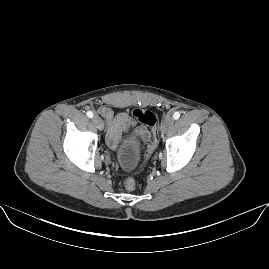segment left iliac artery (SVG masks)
<instances>
[{"mask_svg":"<svg viewBox=\"0 0 269 269\" xmlns=\"http://www.w3.org/2000/svg\"><path fill=\"white\" fill-rule=\"evenodd\" d=\"M179 117H180V113H179V112H175V113L173 114V118H174L175 120L179 119Z\"/></svg>","mask_w":269,"mask_h":269,"instance_id":"44dca946","label":"left iliac artery"}]
</instances>
